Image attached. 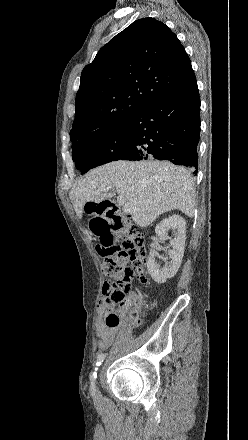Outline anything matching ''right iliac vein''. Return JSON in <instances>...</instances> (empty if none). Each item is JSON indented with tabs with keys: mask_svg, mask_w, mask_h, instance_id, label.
<instances>
[{
	"mask_svg": "<svg viewBox=\"0 0 248 440\" xmlns=\"http://www.w3.org/2000/svg\"><path fill=\"white\" fill-rule=\"evenodd\" d=\"M91 390H92L93 394H96V393H97V387H96L95 382L92 383V385H91Z\"/></svg>",
	"mask_w": 248,
	"mask_h": 440,
	"instance_id": "right-iliac-vein-1",
	"label": "right iliac vein"
}]
</instances>
